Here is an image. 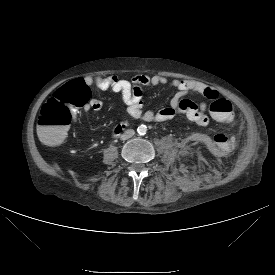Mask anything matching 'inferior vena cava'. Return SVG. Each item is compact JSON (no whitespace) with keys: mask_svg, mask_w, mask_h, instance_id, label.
Listing matches in <instances>:
<instances>
[{"mask_svg":"<svg viewBox=\"0 0 275 275\" xmlns=\"http://www.w3.org/2000/svg\"><path fill=\"white\" fill-rule=\"evenodd\" d=\"M134 134H135L134 130L128 129L121 135V139L127 140V139L131 138Z\"/></svg>","mask_w":275,"mask_h":275,"instance_id":"inferior-vena-cava-1","label":"inferior vena cava"}]
</instances>
